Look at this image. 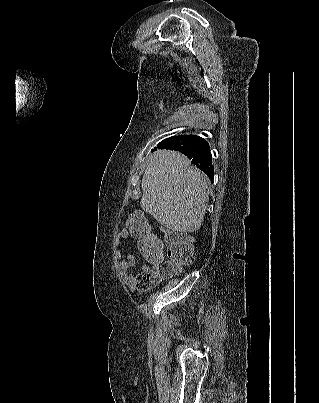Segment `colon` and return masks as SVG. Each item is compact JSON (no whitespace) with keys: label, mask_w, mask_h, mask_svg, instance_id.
<instances>
[{"label":"colon","mask_w":319,"mask_h":403,"mask_svg":"<svg viewBox=\"0 0 319 403\" xmlns=\"http://www.w3.org/2000/svg\"><path fill=\"white\" fill-rule=\"evenodd\" d=\"M130 233L138 239L139 249L153 268L137 275V288L142 292L152 290L162 279L178 275L194 260V246L190 237L183 232L168 230L164 243L151 233L150 224L144 214L133 213L127 219Z\"/></svg>","instance_id":"colon-1"}]
</instances>
